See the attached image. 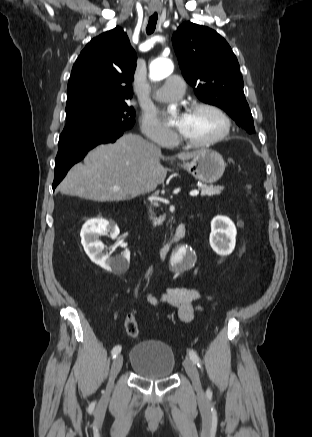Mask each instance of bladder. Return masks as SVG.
<instances>
[{
    "mask_svg": "<svg viewBox=\"0 0 312 437\" xmlns=\"http://www.w3.org/2000/svg\"><path fill=\"white\" fill-rule=\"evenodd\" d=\"M133 372L150 380L169 378L175 368V354L164 341L145 340L135 344L129 355Z\"/></svg>",
    "mask_w": 312,
    "mask_h": 437,
    "instance_id": "1",
    "label": "bladder"
}]
</instances>
